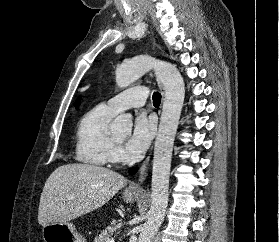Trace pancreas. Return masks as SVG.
I'll use <instances>...</instances> for the list:
<instances>
[{
  "instance_id": "cf45deb5",
  "label": "pancreas",
  "mask_w": 279,
  "mask_h": 242,
  "mask_svg": "<svg viewBox=\"0 0 279 242\" xmlns=\"http://www.w3.org/2000/svg\"><path fill=\"white\" fill-rule=\"evenodd\" d=\"M116 231V227L108 226L105 229L101 231L100 234H98L94 238V242H106L109 238L113 236V233Z\"/></svg>"
}]
</instances>
